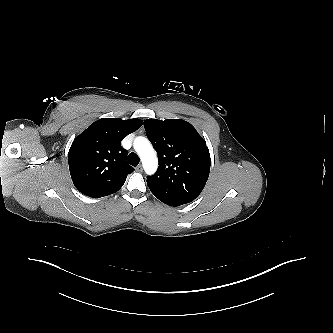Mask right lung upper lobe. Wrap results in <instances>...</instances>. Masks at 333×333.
Segmentation results:
<instances>
[{
	"label": "right lung upper lobe",
	"instance_id": "1",
	"mask_svg": "<svg viewBox=\"0 0 333 333\" xmlns=\"http://www.w3.org/2000/svg\"><path fill=\"white\" fill-rule=\"evenodd\" d=\"M140 119L103 118L92 123L73 141L68 164L75 187L93 198L117 192L133 168L126 163L121 141L135 132Z\"/></svg>",
	"mask_w": 333,
	"mask_h": 333
}]
</instances>
